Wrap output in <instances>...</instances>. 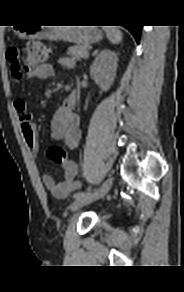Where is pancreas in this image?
<instances>
[{"mask_svg": "<svg viewBox=\"0 0 184 292\" xmlns=\"http://www.w3.org/2000/svg\"><path fill=\"white\" fill-rule=\"evenodd\" d=\"M89 46L85 44L74 45L69 47L67 54L73 57L75 60H79L81 57L86 56Z\"/></svg>", "mask_w": 184, "mask_h": 292, "instance_id": "cf45deb5", "label": "pancreas"}]
</instances>
